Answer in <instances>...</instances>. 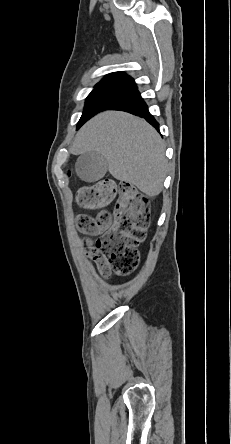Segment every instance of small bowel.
I'll return each mask as SVG.
<instances>
[{"label":"small bowel","mask_w":231,"mask_h":444,"mask_svg":"<svg viewBox=\"0 0 231 444\" xmlns=\"http://www.w3.org/2000/svg\"><path fill=\"white\" fill-rule=\"evenodd\" d=\"M89 264L91 266H96L98 271L102 274L108 271V268L102 259V257L94 250H91L88 254Z\"/></svg>","instance_id":"obj_1"}]
</instances>
